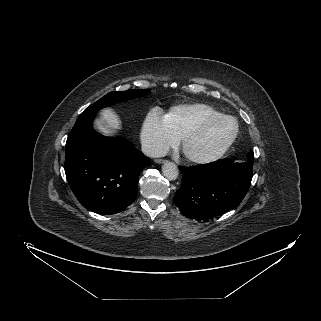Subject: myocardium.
I'll use <instances>...</instances> for the list:
<instances>
[{"instance_id":"1","label":"myocardium","mask_w":321,"mask_h":321,"mask_svg":"<svg viewBox=\"0 0 321 321\" xmlns=\"http://www.w3.org/2000/svg\"><path fill=\"white\" fill-rule=\"evenodd\" d=\"M221 120H231L234 123V130L232 134L220 145V147L216 151L204 156L195 155L187 151L186 146L189 140L199 135L211 124ZM238 132H239V124L236 118H234L233 116L220 114V115L208 117L200 121L198 124L190 128L189 130H187L181 136L180 138L181 151L185 156V158L193 163H197V164L211 163L220 159L228 151V149L232 146V144L236 140Z\"/></svg>"}]
</instances>
